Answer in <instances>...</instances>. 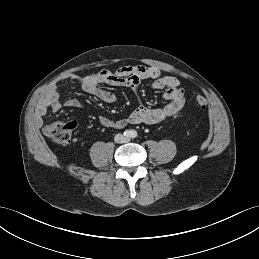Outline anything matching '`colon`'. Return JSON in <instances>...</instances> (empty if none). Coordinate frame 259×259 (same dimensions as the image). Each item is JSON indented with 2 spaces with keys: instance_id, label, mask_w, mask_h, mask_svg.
<instances>
[{
  "instance_id": "5ec220e1",
  "label": "colon",
  "mask_w": 259,
  "mask_h": 259,
  "mask_svg": "<svg viewBox=\"0 0 259 259\" xmlns=\"http://www.w3.org/2000/svg\"><path fill=\"white\" fill-rule=\"evenodd\" d=\"M197 105L204 109L207 106V101L203 96L196 98ZM77 122H53L48 124L44 131L46 135L61 144H69L73 140L74 131L77 128Z\"/></svg>"
}]
</instances>
